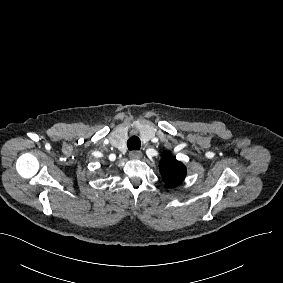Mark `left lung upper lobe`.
<instances>
[{"instance_id": "5c2ea615", "label": "left lung upper lobe", "mask_w": 283, "mask_h": 283, "mask_svg": "<svg viewBox=\"0 0 283 283\" xmlns=\"http://www.w3.org/2000/svg\"><path fill=\"white\" fill-rule=\"evenodd\" d=\"M160 174L168 187H176L186 177V167L177 161L169 152L163 154L159 162Z\"/></svg>"}]
</instances>
